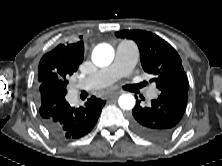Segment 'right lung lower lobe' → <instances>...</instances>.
<instances>
[{
  "label": "right lung lower lobe",
  "mask_w": 222,
  "mask_h": 166,
  "mask_svg": "<svg viewBox=\"0 0 222 166\" xmlns=\"http://www.w3.org/2000/svg\"><path fill=\"white\" fill-rule=\"evenodd\" d=\"M67 90L53 82L39 83L36 94L42 122L58 140L78 139L95 126L105 101L92 96L84 106L75 108L67 102Z\"/></svg>",
  "instance_id": "obj_1"
}]
</instances>
